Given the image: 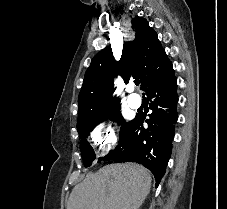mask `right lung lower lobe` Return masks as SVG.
<instances>
[{
    "instance_id": "obj_1",
    "label": "right lung lower lobe",
    "mask_w": 227,
    "mask_h": 209,
    "mask_svg": "<svg viewBox=\"0 0 227 209\" xmlns=\"http://www.w3.org/2000/svg\"><path fill=\"white\" fill-rule=\"evenodd\" d=\"M172 64H165L150 80L146 93L150 100L148 128L143 127L144 117L137 114L130 121L120 138L119 145L103 160L114 162H137L148 168L156 179V187L165 174L172 152L174 124L178 119L176 111L177 83Z\"/></svg>"
}]
</instances>
